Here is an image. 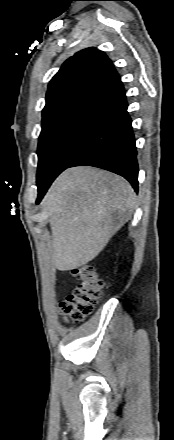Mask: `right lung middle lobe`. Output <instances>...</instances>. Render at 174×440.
I'll return each mask as SVG.
<instances>
[{"label": "right lung middle lobe", "instance_id": "right-lung-middle-lobe-1", "mask_svg": "<svg viewBox=\"0 0 174 440\" xmlns=\"http://www.w3.org/2000/svg\"><path fill=\"white\" fill-rule=\"evenodd\" d=\"M98 96L84 97L42 119L37 186L51 184L75 158L94 119Z\"/></svg>", "mask_w": 174, "mask_h": 440}]
</instances>
